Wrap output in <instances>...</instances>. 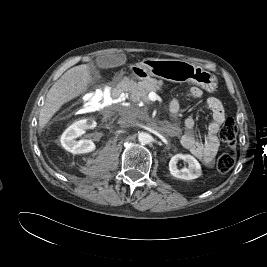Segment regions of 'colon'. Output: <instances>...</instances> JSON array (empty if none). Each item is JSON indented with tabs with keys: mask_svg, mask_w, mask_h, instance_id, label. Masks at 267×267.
Segmentation results:
<instances>
[{
	"mask_svg": "<svg viewBox=\"0 0 267 267\" xmlns=\"http://www.w3.org/2000/svg\"><path fill=\"white\" fill-rule=\"evenodd\" d=\"M238 127L233 118H228L224 122L220 137L228 146L234 147L237 139ZM235 163V156L230 153H222L217 159V169L221 173H226L232 169Z\"/></svg>",
	"mask_w": 267,
	"mask_h": 267,
	"instance_id": "obj_1",
	"label": "colon"
}]
</instances>
